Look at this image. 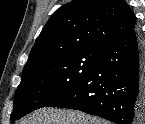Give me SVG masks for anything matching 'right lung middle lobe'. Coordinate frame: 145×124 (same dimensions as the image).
<instances>
[{"label": "right lung middle lobe", "instance_id": "1", "mask_svg": "<svg viewBox=\"0 0 145 124\" xmlns=\"http://www.w3.org/2000/svg\"><path fill=\"white\" fill-rule=\"evenodd\" d=\"M99 54L91 51L68 54L23 74L15 93L11 122L45 107L79 83Z\"/></svg>", "mask_w": 145, "mask_h": 124}]
</instances>
